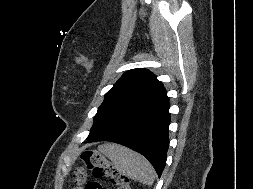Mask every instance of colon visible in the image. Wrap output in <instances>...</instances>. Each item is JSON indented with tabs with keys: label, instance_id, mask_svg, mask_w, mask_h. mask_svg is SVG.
<instances>
[{
	"label": "colon",
	"instance_id": "colon-1",
	"mask_svg": "<svg viewBox=\"0 0 253 189\" xmlns=\"http://www.w3.org/2000/svg\"><path fill=\"white\" fill-rule=\"evenodd\" d=\"M81 159L85 168L89 169L95 180L88 182L84 189H103L101 179H109L115 189H132L130 180L118 172L114 164L104 155L96 150H85L81 154ZM86 172L83 167L77 168L73 174V179L77 184L85 181Z\"/></svg>",
	"mask_w": 253,
	"mask_h": 189
}]
</instances>
